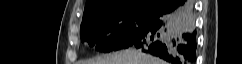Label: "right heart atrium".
Masks as SVG:
<instances>
[{
  "instance_id": "1",
  "label": "right heart atrium",
  "mask_w": 242,
  "mask_h": 64,
  "mask_svg": "<svg viewBox=\"0 0 242 64\" xmlns=\"http://www.w3.org/2000/svg\"><path fill=\"white\" fill-rule=\"evenodd\" d=\"M109 32H110V34H114V29L110 28Z\"/></svg>"
}]
</instances>
